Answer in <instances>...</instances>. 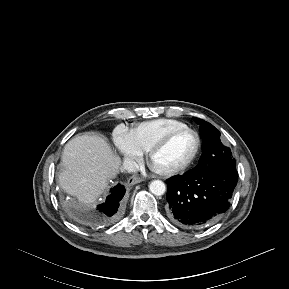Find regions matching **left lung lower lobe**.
<instances>
[{"mask_svg":"<svg viewBox=\"0 0 289 289\" xmlns=\"http://www.w3.org/2000/svg\"><path fill=\"white\" fill-rule=\"evenodd\" d=\"M238 173L233 165L194 168L167 180V215L181 227L201 228L215 222L230 205Z\"/></svg>","mask_w":289,"mask_h":289,"instance_id":"obj_1","label":"left lung lower lobe"}]
</instances>
